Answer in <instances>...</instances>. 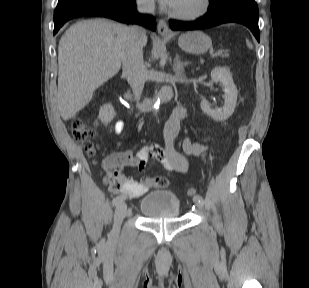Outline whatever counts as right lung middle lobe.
<instances>
[{
  "label": "right lung middle lobe",
  "instance_id": "dd1d6c3e",
  "mask_svg": "<svg viewBox=\"0 0 309 288\" xmlns=\"http://www.w3.org/2000/svg\"><path fill=\"white\" fill-rule=\"evenodd\" d=\"M78 1L79 0H59L55 12L62 11Z\"/></svg>",
  "mask_w": 309,
  "mask_h": 288
}]
</instances>
